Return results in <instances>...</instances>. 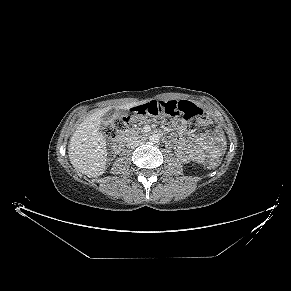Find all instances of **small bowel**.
<instances>
[{
  "label": "small bowel",
  "mask_w": 291,
  "mask_h": 291,
  "mask_svg": "<svg viewBox=\"0 0 291 291\" xmlns=\"http://www.w3.org/2000/svg\"><path fill=\"white\" fill-rule=\"evenodd\" d=\"M200 126H206L201 120L198 121ZM175 131L180 138L175 141L176 153L184 162H196L202 164L207 158L210 160H219L225 148V139L220 129H215L209 133H200L185 139L187 125L183 119L173 121Z\"/></svg>",
  "instance_id": "c3829d8e"
}]
</instances>
